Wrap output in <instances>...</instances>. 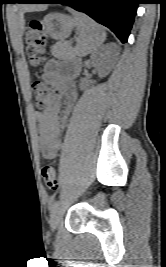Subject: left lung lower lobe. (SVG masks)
Returning a JSON list of instances; mask_svg holds the SVG:
<instances>
[{"label":"left lung lower lobe","instance_id":"left-lung-lower-lobe-1","mask_svg":"<svg viewBox=\"0 0 166 267\" xmlns=\"http://www.w3.org/2000/svg\"><path fill=\"white\" fill-rule=\"evenodd\" d=\"M24 3H62L108 27L126 43L134 21L138 0H28Z\"/></svg>","mask_w":166,"mask_h":267}]
</instances>
